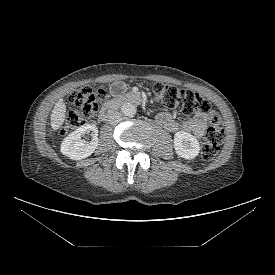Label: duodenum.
I'll use <instances>...</instances> for the list:
<instances>
[{
	"mask_svg": "<svg viewBox=\"0 0 275 275\" xmlns=\"http://www.w3.org/2000/svg\"><path fill=\"white\" fill-rule=\"evenodd\" d=\"M141 102V96L137 93L129 92L120 95L117 98L110 100L104 105V107L100 111L99 119L101 121H107L122 104L131 103L139 105L141 104Z\"/></svg>",
	"mask_w": 275,
	"mask_h": 275,
	"instance_id": "1",
	"label": "duodenum"
}]
</instances>
